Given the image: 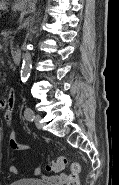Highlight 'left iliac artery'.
Masks as SVG:
<instances>
[{"mask_svg": "<svg viewBox=\"0 0 119 185\" xmlns=\"http://www.w3.org/2000/svg\"><path fill=\"white\" fill-rule=\"evenodd\" d=\"M24 116L28 121H33L34 120V111L31 108H26L24 111Z\"/></svg>", "mask_w": 119, "mask_h": 185, "instance_id": "obj_1", "label": "left iliac artery"}]
</instances>
